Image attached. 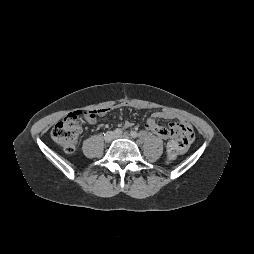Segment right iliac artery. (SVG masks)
I'll return each mask as SVG.
<instances>
[{"label":"right iliac artery","mask_w":254,"mask_h":254,"mask_svg":"<svg viewBox=\"0 0 254 254\" xmlns=\"http://www.w3.org/2000/svg\"><path fill=\"white\" fill-rule=\"evenodd\" d=\"M114 132H115V134H117V135H121V134H122V130L119 129V128L115 129Z\"/></svg>","instance_id":"82829eb1"}]
</instances>
